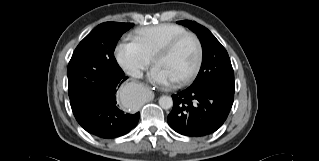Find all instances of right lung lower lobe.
<instances>
[{
  "instance_id": "1",
  "label": "right lung lower lobe",
  "mask_w": 319,
  "mask_h": 161,
  "mask_svg": "<svg viewBox=\"0 0 319 161\" xmlns=\"http://www.w3.org/2000/svg\"><path fill=\"white\" fill-rule=\"evenodd\" d=\"M126 79L120 68L70 97L73 114L87 132L102 138H115L137 125L140 113H125L116 101V91Z\"/></svg>"
}]
</instances>
